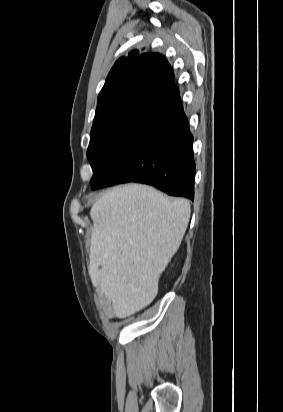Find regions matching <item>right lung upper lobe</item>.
I'll list each match as a JSON object with an SVG mask.
<instances>
[{
    "label": "right lung upper lobe",
    "instance_id": "cb5924a9",
    "mask_svg": "<svg viewBox=\"0 0 283 412\" xmlns=\"http://www.w3.org/2000/svg\"><path fill=\"white\" fill-rule=\"evenodd\" d=\"M138 54V50L131 51L112 67L98 96L94 121L126 111L165 112L180 97L167 60L158 53ZM165 65L169 68L167 80Z\"/></svg>",
    "mask_w": 283,
    "mask_h": 412
}]
</instances>
